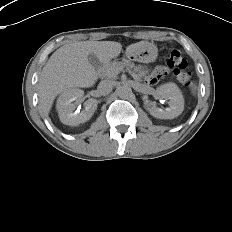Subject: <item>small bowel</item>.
Here are the masks:
<instances>
[{
	"label": "small bowel",
	"instance_id": "small-bowel-1",
	"mask_svg": "<svg viewBox=\"0 0 232 232\" xmlns=\"http://www.w3.org/2000/svg\"><path fill=\"white\" fill-rule=\"evenodd\" d=\"M169 69L166 68L165 65H158L157 68L154 69V72H149L147 74V86L155 87L158 82H161L165 77L169 76Z\"/></svg>",
	"mask_w": 232,
	"mask_h": 232
}]
</instances>
